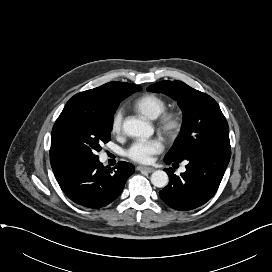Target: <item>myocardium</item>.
Instances as JSON below:
<instances>
[{
    "label": "myocardium",
    "instance_id": "f54148a6",
    "mask_svg": "<svg viewBox=\"0 0 272 272\" xmlns=\"http://www.w3.org/2000/svg\"><path fill=\"white\" fill-rule=\"evenodd\" d=\"M159 131L167 138H176L182 129V118L176 111H163L157 120Z\"/></svg>",
    "mask_w": 272,
    "mask_h": 272
}]
</instances>
